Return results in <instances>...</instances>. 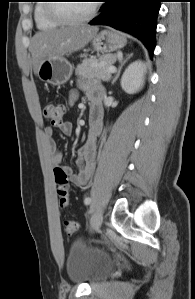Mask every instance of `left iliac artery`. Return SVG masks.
<instances>
[{
    "mask_svg": "<svg viewBox=\"0 0 195 299\" xmlns=\"http://www.w3.org/2000/svg\"><path fill=\"white\" fill-rule=\"evenodd\" d=\"M84 203L86 205H89L91 203V198L90 197L85 198Z\"/></svg>",
    "mask_w": 195,
    "mask_h": 299,
    "instance_id": "obj_1",
    "label": "left iliac artery"
}]
</instances>
